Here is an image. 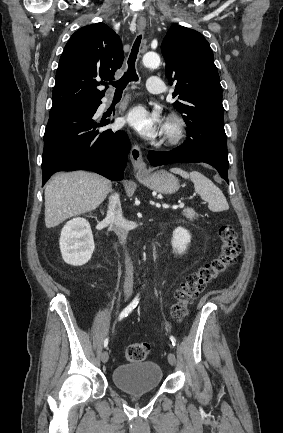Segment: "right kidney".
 I'll use <instances>...</instances> for the list:
<instances>
[{"instance_id": "1", "label": "right kidney", "mask_w": 283, "mask_h": 433, "mask_svg": "<svg viewBox=\"0 0 283 433\" xmlns=\"http://www.w3.org/2000/svg\"><path fill=\"white\" fill-rule=\"evenodd\" d=\"M59 245L62 258L67 264H86L95 248L89 222L80 217L68 221L61 231Z\"/></svg>"}]
</instances>
